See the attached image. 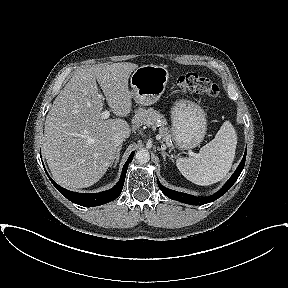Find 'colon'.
<instances>
[{"label":"colon","mask_w":288,"mask_h":288,"mask_svg":"<svg viewBox=\"0 0 288 288\" xmlns=\"http://www.w3.org/2000/svg\"><path fill=\"white\" fill-rule=\"evenodd\" d=\"M176 86L183 92L199 93L209 98L219 94V87L207 77L197 73H186L176 80Z\"/></svg>","instance_id":"obj_1"}]
</instances>
